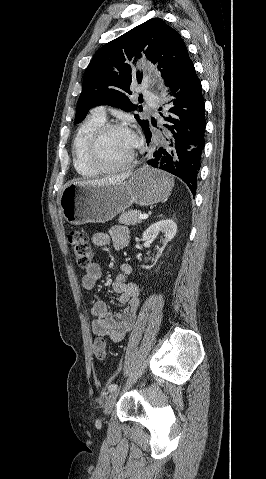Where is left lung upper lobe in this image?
I'll return each mask as SVG.
<instances>
[{"instance_id":"obj_1","label":"left lung upper lobe","mask_w":266,"mask_h":479,"mask_svg":"<svg viewBox=\"0 0 266 479\" xmlns=\"http://www.w3.org/2000/svg\"><path fill=\"white\" fill-rule=\"evenodd\" d=\"M146 57L158 63V69L171 87L191 62L180 34L160 18H152L122 36L102 46L88 65L83 89L77 103L76 123H80L89 109L97 104L120 107L129 112L137 109L130 100V86L141 83L142 74L135 75L127 63L135 56ZM144 131L147 120L134 115Z\"/></svg>"}]
</instances>
